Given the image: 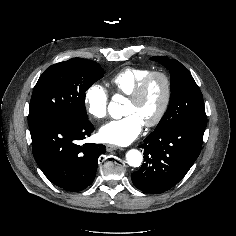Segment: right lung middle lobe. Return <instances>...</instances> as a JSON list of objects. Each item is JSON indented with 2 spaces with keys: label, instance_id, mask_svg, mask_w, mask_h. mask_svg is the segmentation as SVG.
<instances>
[{
  "label": "right lung middle lobe",
  "instance_id": "dd1d6c3e",
  "mask_svg": "<svg viewBox=\"0 0 236 236\" xmlns=\"http://www.w3.org/2000/svg\"><path fill=\"white\" fill-rule=\"evenodd\" d=\"M103 74L98 63L82 58L48 67L34 87L29 117L52 115L87 119L85 92Z\"/></svg>",
  "mask_w": 236,
  "mask_h": 236
}]
</instances>
